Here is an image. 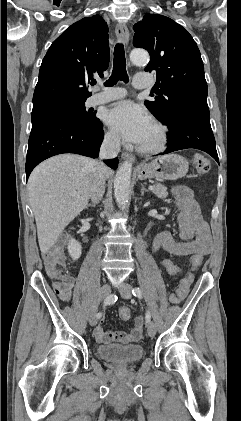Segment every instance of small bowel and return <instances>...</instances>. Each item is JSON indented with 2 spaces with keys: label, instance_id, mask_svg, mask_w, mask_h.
<instances>
[{
  "label": "small bowel",
  "instance_id": "1",
  "mask_svg": "<svg viewBox=\"0 0 241 421\" xmlns=\"http://www.w3.org/2000/svg\"><path fill=\"white\" fill-rule=\"evenodd\" d=\"M177 207L179 208V234L180 242L175 241L169 232L159 233L153 242V250H164L177 257H192L206 255L211 249V235L207 223L202 218L199 205L194 199L193 192L185 186L173 189ZM73 280L58 288L56 293L63 301H69L72 295ZM172 303H179L175 296H170ZM143 331V317L134 319L130 332L105 331L101 325L94 329V336L99 343L118 342L122 344L138 342Z\"/></svg>",
  "mask_w": 241,
  "mask_h": 421
}]
</instances>
